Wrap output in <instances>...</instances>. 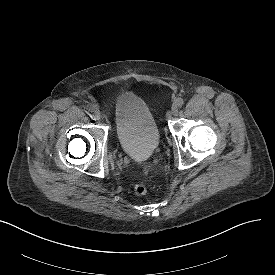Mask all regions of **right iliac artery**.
<instances>
[{"label":"right iliac artery","mask_w":275,"mask_h":275,"mask_svg":"<svg viewBox=\"0 0 275 275\" xmlns=\"http://www.w3.org/2000/svg\"><path fill=\"white\" fill-rule=\"evenodd\" d=\"M94 107H95L94 105L90 104V105L87 106L86 109H87L89 112H93Z\"/></svg>","instance_id":"obj_1"}]
</instances>
